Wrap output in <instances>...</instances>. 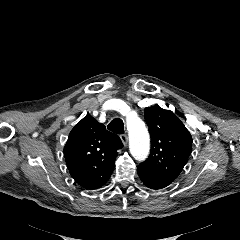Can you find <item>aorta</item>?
<instances>
[{"label":"aorta","mask_w":240,"mask_h":240,"mask_svg":"<svg viewBox=\"0 0 240 240\" xmlns=\"http://www.w3.org/2000/svg\"><path fill=\"white\" fill-rule=\"evenodd\" d=\"M127 129L131 155L138 161L145 160L149 154L150 141L144 122L137 116H128Z\"/></svg>","instance_id":"obj_1"}]
</instances>
